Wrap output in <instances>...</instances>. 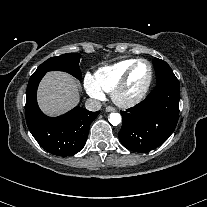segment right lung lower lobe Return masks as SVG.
<instances>
[{"instance_id": "1", "label": "right lung lower lobe", "mask_w": 207, "mask_h": 207, "mask_svg": "<svg viewBox=\"0 0 207 207\" xmlns=\"http://www.w3.org/2000/svg\"><path fill=\"white\" fill-rule=\"evenodd\" d=\"M45 73L30 77L26 91L25 117L27 126L48 152L57 156H70L79 152L87 140L91 122L99 112L75 107L58 117H48L39 109L36 99L37 87Z\"/></svg>"}]
</instances>
